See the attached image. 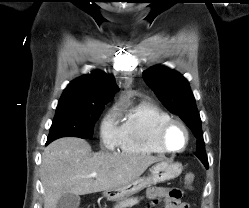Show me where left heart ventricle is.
I'll return each instance as SVG.
<instances>
[{
	"label": "left heart ventricle",
	"instance_id": "b2bd125f",
	"mask_svg": "<svg viewBox=\"0 0 249 208\" xmlns=\"http://www.w3.org/2000/svg\"><path fill=\"white\" fill-rule=\"evenodd\" d=\"M185 141V133L179 126L172 127L166 135L167 145L174 149L182 148L185 144Z\"/></svg>",
	"mask_w": 249,
	"mask_h": 208
}]
</instances>
